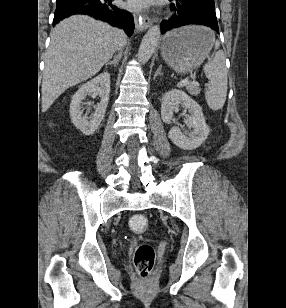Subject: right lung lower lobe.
I'll return each mask as SVG.
<instances>
[{"label": "right lung lower lobe", "mask_w": 286, "mask_h": 308, "mask_svg": "<svg viewBox=\"0 0 286 308\" xmlns=\"http://www.w3.org/2000/svg\"><path fill=\"white\" fill-rule=\"evenodd\" d=\"M73 14L90 15L106 21L113 26L123 28L128 36L134 31L131 13L112 5V0H57L53 24Z\"/></svg>", "instance_id": "right-lung-lower-lobe-1"}]
</instances>
